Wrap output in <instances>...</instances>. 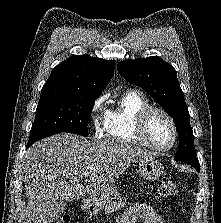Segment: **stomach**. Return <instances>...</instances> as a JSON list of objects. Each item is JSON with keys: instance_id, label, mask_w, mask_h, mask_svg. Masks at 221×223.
I'll return each mask as SVG.
<instances>
[{"instance_id": "0dacf381", "label": "stomach", "mask_w": 221, "mask_h": 223, "mask_svg": "<svg viewBox=\"0 0 221 223\" xmlns=\"http://www.w3.org/2000/svg\"><path fill=\"white\" fill-rule=\"evenodd\" d=\"M163 166L154 157L141 158L139 160V173L146 180H156L163 174ZM116 192V187H108L105 190L91 195L86 202L85 209L90 214H95L106 206Z\"/></svg>"}]
</instances>
